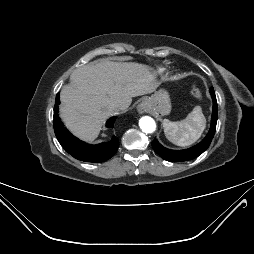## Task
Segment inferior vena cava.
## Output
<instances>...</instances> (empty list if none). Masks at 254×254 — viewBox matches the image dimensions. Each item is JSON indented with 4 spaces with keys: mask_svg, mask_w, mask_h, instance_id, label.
I'll return each mask as SVG.
<instances>
[{
    "mask_svg": "<svg viewBox=\"0 0 254 254\" xmlns=\"http://www.w3.org/2000/svg\"><path fill=\"white\" fill-rule=\"evenodd\" d=\"M128 108V106L126 104H116L113 106V110L116 111V112H119V111H124Z\"/></svg>",
    "mask_w": 254,
    "mask_h": 254,
    "instance_id": "inferior-vena-cava-1",
    "label": "inferior vena cava"
}]
</instances>
